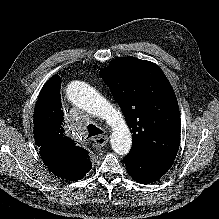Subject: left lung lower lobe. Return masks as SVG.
Listing matches in <instances>:
<instances>
[{
  "label": "left lung lower lobe",
  "mask_w": 219,
  "mask_h": 219,
  "mask_svg": "<svg viewBox=\"0 0 219 219\" xmlns=\"http://www.w3.org/2000/svg\"><path fill=\"white\" fill-rule=\"evenodd\" d=\"M125 166L138 183L147 184L159 180L172 166L174 159H161L146 154L127 155Z\"/></svg>",
  "instance_id": "obj_1"
}]
</instances>
